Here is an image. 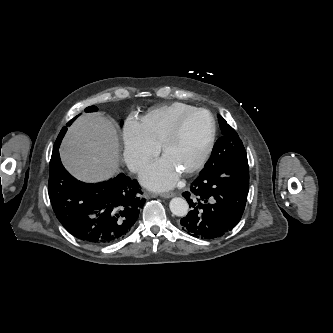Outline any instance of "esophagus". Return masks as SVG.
Masks as SVG:
<instances>
[{"instance_id":"34e87169","label":"esophagus","mask_w":333,"mask_h":333,"mask_svg":"<svg viewBox=\"0 0 333 333\" xmlns=\"http://www.w3.org/2000/svg\"><path fill=\"white\" fill-rule=\"evenodd\" d=\"M175 195V193L173 192H167V193H161L160 196L163 197V198H170V197H173ZM148 197H155L156 195L154 194H147Z\"/></svg>"}]
</instances>
